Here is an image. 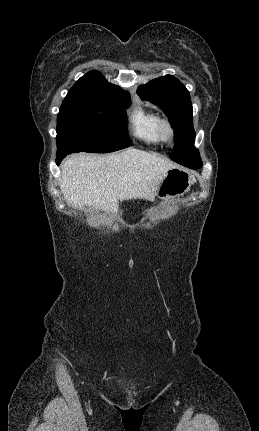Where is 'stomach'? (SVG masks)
<instances>
[{
  "instance_id": "0dacf381",
  "label": "stomach",
  "mask_w": 259,
  "mask_h": 431,
  "mask_svg": "<svg viewBox=\"0 0 259 431\" xmlns=\"http://www.w3.org/2000/svg\"><path fill=\"white\" fill-rule=\"evenodd\" d=\"M192 184L193 177L186 170L175 167L167 171L156 196L160 199L179 197L188 192Z\"/></svg>"
}]
</instances>
